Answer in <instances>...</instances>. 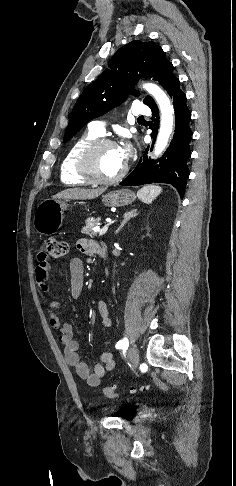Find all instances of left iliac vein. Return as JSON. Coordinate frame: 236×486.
<instances>
[{
	"instance_id": "left-iliac-vein-1",
	"label": "left iliac vein",
	"mask_w": 236,
	"mask_h": 486,
	"mask_svg": "<svg viewBox=\"0 0 236 486\" xmlns=\"http://www.w3.org/2000/svg\"><path fill=\"white\" fill-rule=\"evenodd\" d=\"M129 361L133 368H137L139 364V351L136 346H132L128 352Z\"/></svg>"
}]
</instances>
